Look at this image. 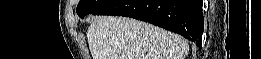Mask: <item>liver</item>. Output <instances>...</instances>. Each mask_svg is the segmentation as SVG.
Wrapping results in <instances>:
<instances>
[{
	"instance_id": "6515ba94",
	"label": "liver",
	"mask_w": 261,
	"mask_h": 59,
	"mask_svg": "<svg viewBox=\"0 0 261 59\" xmlns=\"http://www.w3.org/2000/svg\"><path fill=\"white\" fill-rule=\"evenodd\" d=\"M87 40L93 59H184L188 53L181 36L126 17L94 18Z\"/></svg>"
}]
</instances>
